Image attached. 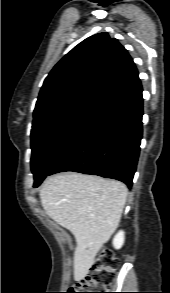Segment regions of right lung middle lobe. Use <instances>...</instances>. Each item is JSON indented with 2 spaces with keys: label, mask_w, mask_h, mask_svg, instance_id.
Instances as JSON below:
<instances>
[{
  "label": "right lung middle lobe",
  "mask_w": 170,
  "mask_h": 293,
  "mask_svg": "<svg viewBox=\"0 0 170 293\" xmlns=\"http://www.w3.org/2000/svg\"><path fill=\"white\" fill-rule=\"evenodd\" d=\"M104 109L102 105L77 104L32 126L31 169L34 187L49 175L55 163L86 133Z\"/></svg>",
  "instance_id": "dd1d6c3e"
}]
</instances>
